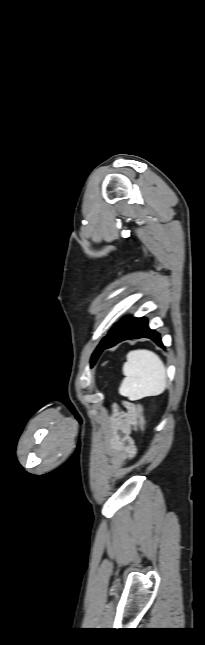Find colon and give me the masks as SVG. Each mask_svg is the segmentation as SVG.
I'll use <instances>...</instances> for the list:
<instances>
[{
    "label": "colon",
    "instance_id": "colon-1",
    "mask_svg": "<svg viewBox=\"0 0 205 645\" xmlns=\"http://www.w3.org/2000/svg\"><path fill=\"white\" fill-rule=\"evenodd\" d=\"M134 410L137 418V423L142 430H145V415L144 407L141 402H136L134 404Z\"/></svg>",
    "mask_w": 205,
    "mask_h": 645
}]
</instances>
